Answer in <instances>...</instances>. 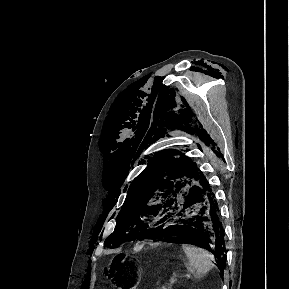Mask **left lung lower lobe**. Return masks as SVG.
Here are the masks:
<instances>
[{
  "label": "left lung lower lobe",
  "mask_w": 289,
  "mask_h": 289,
  "mask_svg": "<svg viewBox=\"0 0 289 289\" xmlns=\"http://www.w3.org/2000/svg\"><path fill=\"white\" fill-rule=\"evenodd\" d=\"M180 236L193 238L199 247L209 250L223 272L227 253L219 207L208 181L187 187L171 205L166 221L146 238Z\"/></svg>",
  "instance_id": "left-lung-lower-lobe-1"
}]
</instances>
